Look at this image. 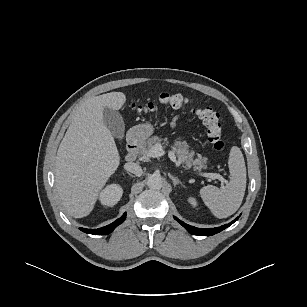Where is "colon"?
Returning <instances> with one entry per match:
<instances>
[{
	"label": "colon",
	"instance_id": "obj_1",
	"mask_svg": "<svg viewBox=\"0 0 307 307\" xmlns=\"http://www.w3.org/2000/svg\"><path fill=\"white\" fill-rule=\"evenodd\" d=\"M159 106H170L174 109H190L201 119L206 127L208 140L213 148L220 152L225 149L219 114L209 106L196 105L190 98L181 94L167 93L161 94L157 99L146 104H130V107L139 113H150Z\"/></svg>",
	"mask_w": 307,
	"mask_h": 307
}]
</instances>
